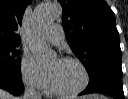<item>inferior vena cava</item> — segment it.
Wrapping results in <instances>:
<instances>
[{
	"label": "inferior vena cava",
	"mask_w": 128,
	"mask_h": 99,
	"mask_svg": "<svg viewBox=\"0 0 128 99\" xmlns=\"http://www.w3.org/2000/svg\"><path fill=\"white\" fill-rule=\"evenodd\" d=\"M23 99H41L40 93L35 89L33 84H27Z\"/></svg>",
	"instance_id": "1"
}]
</instances>
